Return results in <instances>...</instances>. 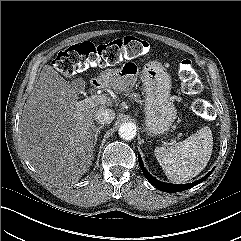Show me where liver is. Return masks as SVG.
Listing matches in <instances>:
<instances>
[{
    "instance_id": "liver-1",
    "label": "liver",
    "mask_w": 241,
    "mask_h": 241,
    "mask_svg": "<svg viewBox=\"0 0 241 241\" xmlns=\"http://www.w3.org/2000/svg\"><path fill=\"white\" fill-rule=\"evenodd\" d=\"M77 92L74 80L66 81L45 65L19 126L27 160L44 180L58 186L77 182L89 170L94 158V113L112 106V102L78 101Z\"/></svg>"
}]
</instances>
